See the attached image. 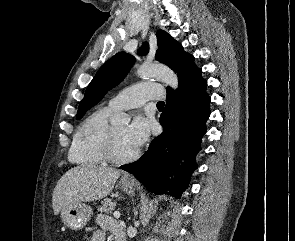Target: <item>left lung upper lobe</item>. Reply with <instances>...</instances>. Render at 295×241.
<instances>
[{
    "label": "left lung upper lobe",
    "mask_w": 295,
    "mask_h": 241,
    "mask_svg": "<svg viewBox=\"0 0 295 241\" xmlns=\"http://www.w3.org/2000/svg\"><path fill=\"white\" fill-rule=\"evenodd\" d=\"M158 49L155 59L169 66L177 73L179 87L181 88L188 80L201 71L194 64V57L183 51L182 46L167 32L159 30L156 33ZM149 50L148 43H144L139 49V55H145ZM133 56L119 52L105 62L96 73L86 89V93L80 102L77 119L83 117L85 112L96 105L114 86H116L133 65ZM167 91H172L170 87Z\"/></svg>",
    "instance_id": "left-lung-upper-lobe-1"
}]
</instances>
